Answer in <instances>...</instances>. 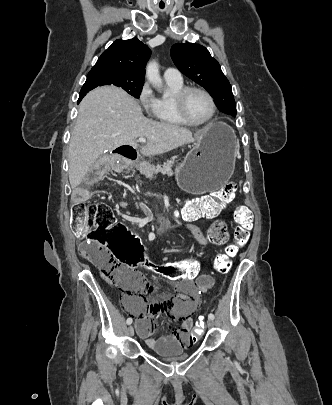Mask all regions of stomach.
<instances>
[{"mask_svg":"<svg viewBox=\"0 0 332 405\" xmlns=\"http://www.w3.org/2000/svg\"><path fill=\"white\" fill-rule=\"evenodd\" d=\"M236 154L233 129L224 122H211L184 161L177 165L176 180L191 194L219 190L233 174Z\"/></svg>","mask_w":332,"mask_h":405,"instance_id":"obj_1","label":"stomach"}]
</instances>
